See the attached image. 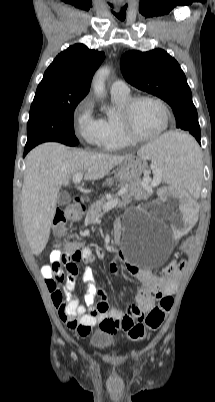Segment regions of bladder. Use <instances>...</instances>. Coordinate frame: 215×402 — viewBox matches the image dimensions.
Wrapping results in <instances>:
<instances>
[{"label": "bladder", "instance_id": "31cf9c89", "mask_svg": "<svg viewBox=\"0 0 215 402\" xmlns=\"http://www.w3.org/2000/svg\"><path fill=\"white\" fill-rule=\"evenodd\" d=\"M90 344L95 349L107 350L114 345V338L107 331L104 330L97 331L91 337Z\"/></svg>", "mask_w": 215, "mask_h": 402}]
</instances>
